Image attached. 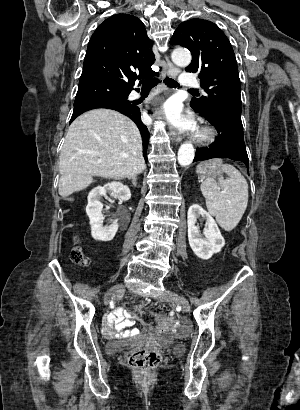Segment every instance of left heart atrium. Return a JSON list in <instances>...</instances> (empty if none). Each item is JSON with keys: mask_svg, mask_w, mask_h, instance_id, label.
<instances>
[{"mask_svg": "<svg viewBox=\"0 0 300 410\" xmlns=\"http://www.w3.org/2000/svg\"><path fill=\"white\" fill-rule=\"evenodd\" d=\"M159 114L172 128L187 133L195 130V124L191 117L185 115L181 106L176 102H167Z\"/></svg>", "mask_w": 300, "mask_h": 410, "instance_id": "39dd6f15", "label": "left heart atrium"}]
</instances>
